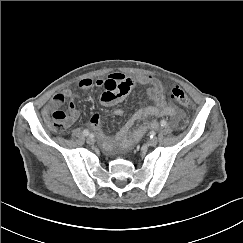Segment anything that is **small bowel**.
<instances>
[{
    "label": "small bowel",
    "instance_id": "c3829d8e",
    "mask_svg": "<svg viewBox=\"0 0 243 243\" xmlns=\"http://www.w3.org/2000/svg\"><path fill=\"white\" fill-rule=\"evenodd\" d=\"M134 85H142L147 88V95L152 104L137 109L116 133L113 141L102 130L100 114L94 111L90 116V126L97 133L104 147L107 149H112L115 145L129 146L138 141L148 129L158 127L156 121H148L140 125L133 132H130L134 124L139 120L159 116H169L177 119L180 116L176 107L167 103L163 95L161 83L152 76H125L121 73H112L107 78L97 79L95 81L85 78L78 82V88L81 91H88L94 86L102 88L103 93L100 96V102L104 106H112L123 101ZM66 98H70L67 117L68 123L71 125L79 118V112L75 106L76 97L69 89L56 94L44 108L43 112L45 115H48L57 110L63 105ZM114 114L116 116H122L123 110L118 108L114 111Z\"/></svg>",
    "mask_w": 243,
    "mask_h": 243
}]
</instances>
